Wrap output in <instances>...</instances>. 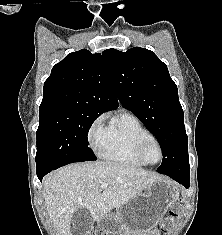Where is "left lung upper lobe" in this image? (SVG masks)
Returning <instances> with one entry per match:
<instances>
[{
  "label": "left lung upper lobe",
  "instance_id": "5c2ea615",
  "mask_svg": "<svg viewBox=\"0 0 222 235\" xmlns=\"http://www.w3.org/2000/svg\"><path fill=\"white\" fill-rule=\"evenodd\" d=\"M112 84L124 108L155 135L162 151L161 174H190L188 138L178 89L154 52L134 47L103 51Z\"/></svg>",
  "mask_w": 222,
  "mask_h": 235
}]
</instances>
